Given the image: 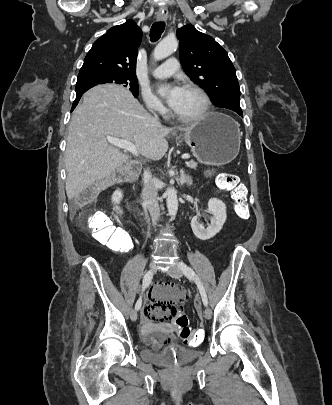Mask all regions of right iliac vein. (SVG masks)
I'll use <instances>...</instances> for the list:
<instances>
[{
	"mask_svg": "<svg viewBox=\"0 0 332 405\" xmlns=\"http://www.w3.org/2000/svg\"><path fill=\"white\" fill-rule=\"evenodd\" d=\"M149 271L153 274L156 271V265L155 264H151ZM137 310H132L130 313V318L132 321H136L137 320Z\"/></svg>",
	"mask_w": 332,
	"mask_h": 405,
	"instance_id": "right-iliac-vein-1",
	"label": "right iliac vein"
}]
</instances>
